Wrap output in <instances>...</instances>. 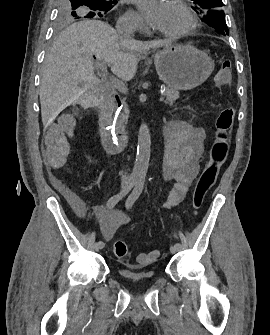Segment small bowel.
<instances>
[{
	"instance_id": "obj_1",
	"label": "small bowel",
	"mask_w": 270,
	"mask_h": 335,
	"mask_svg": "<svg viewBox=\"0 0 270 335\" xmlns=\"http://www.w3.org/2000/svg\"><path fill=\"white\" fill-rule=\"evenodd\" d=\"M74 120L62 117L51 130L48 138L49 149H46L48 165H67L64 158L68 151H72V144H67V138L74 135ZM166 145L165 159L162 163V176L172 181L173 187L164 208H173L184 199L189 186L199 171V160L204 154V131L184 121H170L164 127ZM62 145H65L62 147ZM102 220L100 231L105 239H110L119 224L129 221V217L122 211L100 212Z\"/></svg>"
}]
</instances>
